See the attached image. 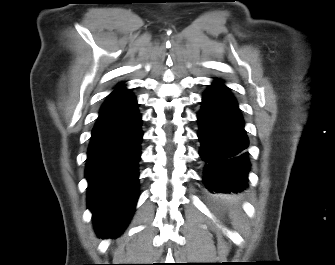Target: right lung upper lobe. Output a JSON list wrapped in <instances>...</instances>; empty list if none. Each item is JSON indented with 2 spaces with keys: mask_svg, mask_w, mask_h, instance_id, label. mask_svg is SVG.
I'll list each match as a JSON object with an SVG mask.
<instances>
[{
  "mask_svg": "<svg viewBox=\"0 0 335 265\" xmlns=\"http://www.w3.org/2000/svg\"><path fill=\"white\" fill-rule=\"evenodd\" d=\"M122 84L119 85L120 88L116 89L115 91H119V90H124L125 88L124 87H121Z\"/></svg>",
  "mask_w": 335,
  "mask_h": 265,
  "instance_id": "right-lung-upper-lobe-1",
  "label": "right lung upper lobe"
}]
</instances>
